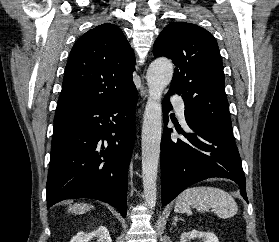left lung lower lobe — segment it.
Here are the masks:
<instances>
[{"mask_svg":"<svg viewBox=\"0 0 279 242\" xmlns=\"http://www.w3.org/2000/svg\"><path fill=\"white\" fill-rule=\"evenodd\" d=\"M170 94L168 92L163 101L166 123L167 113L172 109ZM186 123L189 132L177 129L184 139H172L171 129L167 127L161 139L162 206L188 186L211 177L235 181L248 202L242 162L232 136L206 123L188 119Z\"/></svg>","mask_w":279,"mask_h":242,"instance_id":"obj_1","label":"left lung lower lobe"}]
</instances>
